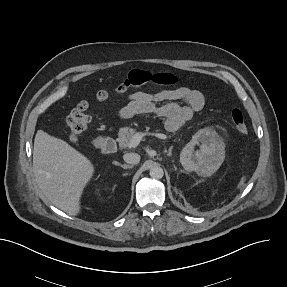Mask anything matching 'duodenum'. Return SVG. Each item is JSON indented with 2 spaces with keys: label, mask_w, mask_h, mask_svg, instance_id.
<instances>
[{
  "label": "duodenum",
  "mask_w": 287,
  "mask_h": 287,
  "mask_svg": "<svg viewBox=\"0 0 287 287\" xmlns=\"http://www.w3.org/2000/svg\"><path fill=\"white\" fill-rule=\"evenodd\" d=\"M97 144L105 154H114L117 151V143L110 137L98 138Z\"/></svg>",
  "instance_id": "duodenum-1"
}]
</instances>
